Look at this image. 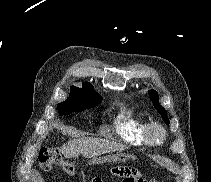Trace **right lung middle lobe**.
<instances>
[{
    "mask_svg": "<svg viewBox=\"0 0 211 182\" xmlns=\"http://www.w3.org/2000/svg\"><path fill=\"white\" fill-rule=\"evenodd\" d=\"M102 101L100 95L71 86L70 95L67 100L57 104L59 115H68L72 112L84 111L95 107Z\"/></svg>",
    "mask_w": 211,
    "mask_h": 182,
    "instance_id": "1",
    "label": "right lung middle lobe"
}]
</instances>
